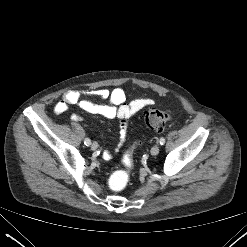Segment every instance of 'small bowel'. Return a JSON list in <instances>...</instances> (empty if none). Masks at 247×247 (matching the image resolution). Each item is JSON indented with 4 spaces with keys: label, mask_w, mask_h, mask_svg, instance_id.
Here are the masks:
<instances>
[{
    "label": "small bowel",
    "mask_w": 247,
    "mask_h": 247,
    "mask_svg": "<svg viewBox=\"0 0 247 247\" xmlns=\"http://www.w3.org/2000/svg\"><path fill=\"white\" fill-rule=\"evenodd\" d=\"M90 97H99L107 102L97 104L92 102L89 99ZM151 104H153V100L147 97H139L127 103L125 91L120 87H116L112 90L105 88L85 91L70 90L64 93L61 101L56 104L54 111L57 114H62L68 110L70 105H77L93 115H100L106 118H118L121 121L118 147L114 152L105 150L102 154L105 160H110L117 153L126 138V121ZM71 119L76 122L83 120L79 114H72Z\"/></svg>",
    "instance_id": "small-bowel-1"
}]
</instances>
